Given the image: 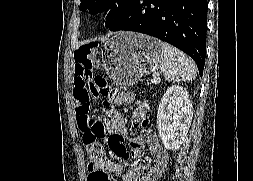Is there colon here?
Masks as SVG:
<instances>
[{"label":"colon","mask_w":253,"mask_h":181,"mask_svg":"<svg viewBox=\"0 0 253 181\" xmlns=\"http://www.w3.org/2000/svg\"><path fill=\"white\" fill-rule=\"evenodd\" d=\"M99 42L85 41L81 48L75 52L76 62L85 66L89 71L95 65L99 56ZM119 98L117 89L111 87L106 79L100 75L90 73L87 81V89L80 100L77 122L84 146L88 151V163L94 167L105 160V151L101 140L105 136V125L91 114V105L100 102L109 106Z\"/></svg>","instance_id":"colon-1"}]
</instances>
